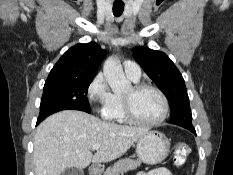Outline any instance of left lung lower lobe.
Instances as JSON below:
<instances>
[{
  "instance_id": "0a47b994",
  "label": "left lung lower lobe",
  "mask_w": 233,
  "mask_h": 175,
  "mask_svg": "<svg viewBox=\"0 0 233 175\" xmlns=\"http://www.w3.org/2000/svg\"><path fill=\"white\" fill-rule=\"evenodd\" d=\"M186 129L190 130L193 134L196 135V131L194 127H186Z\"/></svg>"
}]
</instances>
